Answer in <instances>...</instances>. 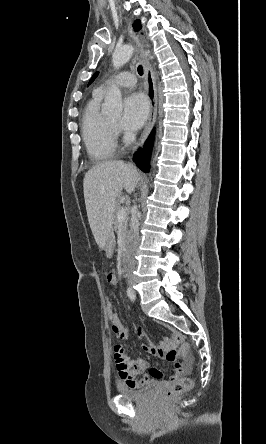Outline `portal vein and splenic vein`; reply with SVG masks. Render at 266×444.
Segmentation results:
<instances>
[{
    "label": "portal vein and splenic vein",
    "mask_w": 266,
    "mask_h": 444,
    "mask_svg": "<svg viewBox=\"0 0 266 444\" xmlns=\"http://www.w3.org/2000/svg\"><path fill=\"white\" fill-rule=\"evenodd\" d=\"M126 216V211L124 208L120 209L117 213V217L119 220H122Z\"/></svg>",
    "instance_id": "18ae733b"
}]
</instances>
